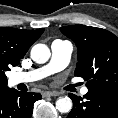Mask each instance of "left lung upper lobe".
Masks as SVG:
<instances>
[{
  "instance_id": "left-lung-upper-lobe-1",
  "label": "left lung upper lobe",
  "mask_w": 118,
  "mask_h": 118,
  "mask_svg": "<svg viewBox=\"0 0 118 118\" xmlns=\"http://www.w3.org/2000/svg\"><path fill=\"white\" fill-rule=\"evenodd\" d=\"M60 31L78 48L75 75L86 81L88 91L118 96V38L105 29L84 25Z\"/></svg>"
}]
</instances>
